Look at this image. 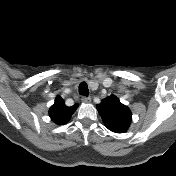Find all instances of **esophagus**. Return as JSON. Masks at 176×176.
Here are the masks:
<instances>
[{
  "label": "esophagus",
  "instance_id": "1",
  "mask_svg": "<svg viewBox=\"0 0 176 176\" xmlns=\"http://www.w3.org/2000/svg\"><path fill=\"white\" fill-rule=\"evenodd\" d=\"M82 102H83V103H90V102H91V97H86V96H84V97L82 98Z\"/></svg>",
  "mask_w": 176,
  "mask_h": 176
}]
</instances>
